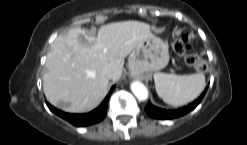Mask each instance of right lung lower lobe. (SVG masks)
<instances>
[{
	"label": "right lung lower lobe",
	"mask_w": 247,
	"mask_h": 145,
	"mask_svg": "<svg viewBox=\"0 0 247 145\" xmlns=\"http://www.w3.org/2000/svg\"><path fill=\"white\" fill-rule=\"evenodd\" d=\"M113 90H114V86L111 88L109 94L104 99V101L101 103V105L95 110H93L92 112L86 113V114L65 113V112H62L61 110L54 108L49 103H47V106L56 115L67 120L68 122H70L71 124L75 126H88V125L100 122L101 120L104 119L106 115L108 100Z\"/></svg>",
	"instance_id": "right-lung-lower-lobe-1"
}]
</instances>
